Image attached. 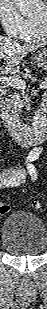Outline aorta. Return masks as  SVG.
Wrapping results in <instances>:
<instances>
[{
	"mask_svg": "<svg viewBox=\"0 0 47 309\" xmlns=\"http://www.w3.org/2000/svg\"><path fill=\"white\" fill-rule=\"evenodd\" d=\"M23 16H31L37 11L38 0H13Z\"/></svg>",
	"mask_w": 47,
	"mask_h": 309,
	"instance_id": "1",
	"label": "aorta"
}]
</instances>
